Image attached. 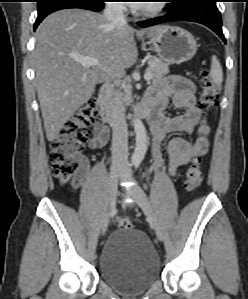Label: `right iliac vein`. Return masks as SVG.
<instances>
[{"mask_svg":"<svg viewBox=\"0 0 248 299\" xmlns=\"http://www.w3.org/2000/svg\"><path fill=\"white\" fill-rule=\"evenodd\" d=\"M121 171L120 166H113L110 172V179H109V198H108V210L105 214V218L103 221L102 227V234L105 233L108 224H109V217L111 211L115 208L116 205V198H117V182L119 179V173Z\"/></svg>","mask_w":248,"mask_h":299,"instance_id":"1","label":"right iliac vein"}]
</instances>
